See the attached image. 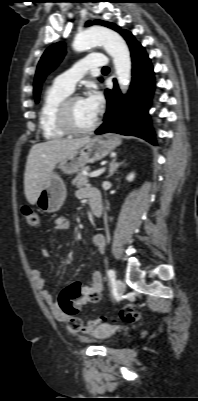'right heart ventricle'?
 Wrapping results in <instances>:
<instances>
[{"mask_svg": "<svg viewBox=\"0 0 198 401\" xmlns=\"http://www.w3.org/2000/svg\"><path fill=\"white\" fill-rule=\"evenodd\" d=\"M70 93L55 83L46 90L39 111V127L45 139H61L67 135L58 126L56 115L60 103Z\"/></svg>", "mask_w": 198, "mask_h": 401, "instance_id": "right-heart-ventricle-1", "label": "right heart ventricle"}]
</instances>
